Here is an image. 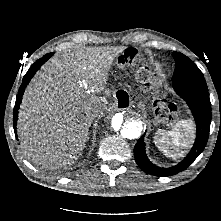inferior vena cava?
Masks as SVG:
<instances>
[{
    "label": "inferior vena cava",
    "mask_w": 221,
    "mask_h": 221,
    "mask_svg": "<svg viewBox=\"0 0 221 221\" xmlns=\"http://www.w3.org/2000/svg\"><path fill=\"white\" fill-rule=\"evenodd\" d=\"M93 118H94L95 120H100V119L102 118V113H101L100 111H95V112L93 113Z\"/></svg>",
    "instance_id": "602c4592"
}]
</instances>
